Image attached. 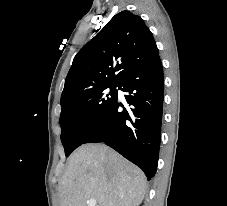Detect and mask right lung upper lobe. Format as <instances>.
Masks as SVG:
<instances>
[{
  "label": "right lung upper lobe",
  "mask_w": 227,
  "mask_h": 206,
  "mask_svg": "<svg viewBox=\"0 0 227 206\" xmlns=\"http://www.w3.org/2000/svg\"><path fill=\"white\" fill-rule=\"evenodd\" d=\"M153 35L138 15L122 11L74 57L61 100L108 84H120L132 70L158 57Z\"/></svg>",
  "instance_id": "1"
}]
</instances>
